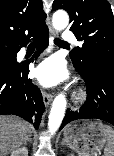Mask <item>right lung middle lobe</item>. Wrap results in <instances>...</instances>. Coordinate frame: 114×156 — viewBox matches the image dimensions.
Segmentation results:
<instances>
[{
  "label": "right lung middle lobe",
  "instance_id": "obj_1",
  "mask_svg": "<svg viewBox=\"0 0 114 156\" xmlns=\"http://www.w3.org/2000/svg\"><path fill=\"white\" fill-rule=\"evenodd\" d=\"M16 54L11 47L0 46V73H9L18 67Z\"/></svg>",
  "mask_w": 114,
  "mask_h": 156
}]
</instances>
